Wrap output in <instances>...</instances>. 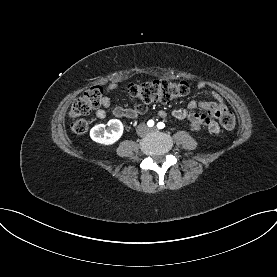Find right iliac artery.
Returning <instances> with one entry per match:
<instances>
[{"instance_id":"right-iliac-artery-1","label":"right iliac artery","mask_w":277,"mask_h":277,"mask_svg":"<svg viewBox=\"0 0 277 277\" xmlns=\"http://www.w3.org/2000/svg\"><path fill=\"white\" fill-rule=\"evenodd\" d=\"M147 125H148L149 127H152V126L154 125V121H153V120H149L148 123H147Z\"/></svg>"}]
</instances>
